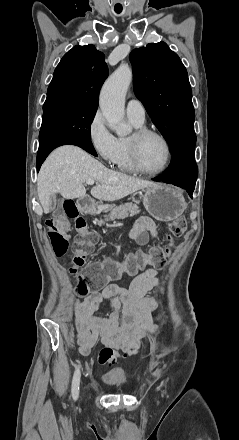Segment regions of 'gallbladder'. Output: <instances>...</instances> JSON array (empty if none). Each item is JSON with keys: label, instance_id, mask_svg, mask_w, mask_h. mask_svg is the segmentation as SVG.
Here are the masks:
<instances>
[{"label": "gallbladder", "instance_id": "1", "mask_svg": "<svg viewBox=\"0 0 239 440\" xmlns=\"http://www.w3.org/2000/svg\"><path fill=\"white\" fill-rule=\"evenodd\" d=\"M56 202H57L56 196H54L53 194V196H50L49 198V210H55Z\"/></svg>", "mask_w": 239, "mask_h": 440}]
</instances>
